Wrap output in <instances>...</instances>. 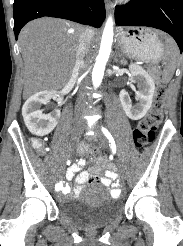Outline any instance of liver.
Masks as SVG:
<instances>
[{
  "label": "liver",
  "mask_w": 183,
  "mask_h": 246,
  "mask_svg": "<svg viewBox=\"0 0 183 246\" xmlns=\"http://www.w3.org/2000/svg\"><path fill=\"white\" fill-rule=\"evenodd\" d=\"M84 29L79 24L50 17L25 25L18 39L25 65V99L38 92L60 89L66 85L75 65L80 35ZM91 30V41L94 43L97 32Z\"/></svg>",
  "instance_id": "liver-1"
}]
</instances>
